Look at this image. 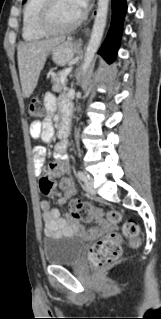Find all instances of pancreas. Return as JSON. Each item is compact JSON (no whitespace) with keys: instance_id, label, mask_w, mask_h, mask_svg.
Segmentation results:
<instances>
[{"instance_id":"pancreas-1","label":"pancreas","mask_w":161,"mask_h":319,"mask_svg":"<svg viewBox=\"0 0 161 319\" xmlns=\"http://www.w3.org/2000/svg\"><path fill=\"white\" fill-rule=\"evenodd\" d=\"M62 72L63 71H59L58 73H53L51 76V81L53 84L52 90L54 92H60L66 86L67 79H65V81L62 83V78H61Z\"/></svg>"}]
</instances>
